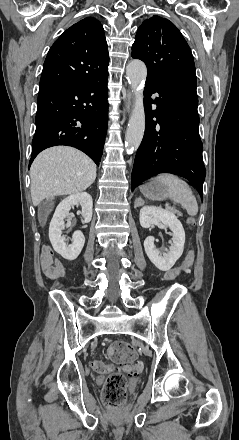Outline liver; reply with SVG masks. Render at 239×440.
<instances>
[{
    "mask_svg": "<svg viewBox=\"0 0 239 440\" xmlns=\"http://www.w3.org/2000/svg\"><path fill=\"white\" fill-rule=\"evenodd\" d=\"M30 178L33 206H39L45 198L87 190L96 180V164L75 148L54 146L35 158Z\"/></svg>",
    "mask_w": 239,
    "mask_h": 440,
    "instance_id": "obj_1",
    "label": "liver"
}]
</instances>
